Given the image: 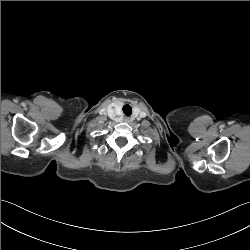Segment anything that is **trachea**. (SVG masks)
<instances>
[{"mask_svg":"<svg viewBox=\"0 0 250 250\" xmlns=\"http://www.w3.org/2000/svg\"><path fill=\"white\" fill-rule=\"evenodd\" d=\"M123 112H124V114H125L126 116H130L131 113H132V108H131V106H130V105H125V106L123 107Z\"/></svg>","mask_w":250,"mask_h":250,"instance_id":"obj_1","label":"trachea"}]
</instances>
